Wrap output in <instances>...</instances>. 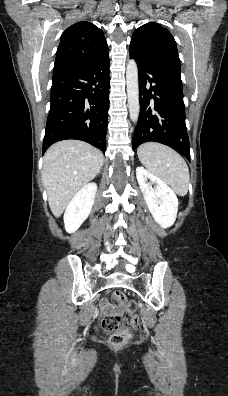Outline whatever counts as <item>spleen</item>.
<instances>
[{
  "label": "spleen",
  "mask_w": 228,
  "mask_h": 396,
  "mask_svg": "<svg viewBox=\"0 0 228 396\" xmlns=\"http://www.w3.org/2000/svg\"><path fill=\"white\" fill-rule=\"evenodd\" d=\"M137 154L140 162L168 183L179 196L187 194L190 182L189 169L175 150L160 143L147 142L138 147Z\"/></svg>",
  "instance_id": "spleen-1"
}]
</instances>
